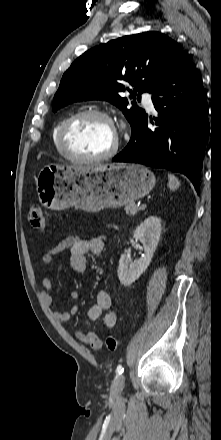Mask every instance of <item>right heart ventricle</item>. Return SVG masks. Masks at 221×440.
<instances>
[{"label":"right heart ventricle","mask_w":221,"mask_h":440,"mask_svg":"<svg viewBox=\"0 0 221 440\" xmlns=\"http://www.w3.org/2000/svg\"><path fill=\"white\" fill-rule=\"evenodd\" d=\"M66 120V118H61L59 119L52 127L51 130V141H52V145L55 149V151L61 155L64 156L63 153L61 152L60 148H59V142H58V133H59V129L62 125V123Z\"/></svg>","instance_id":"e07e8e85"}]
</instances>
